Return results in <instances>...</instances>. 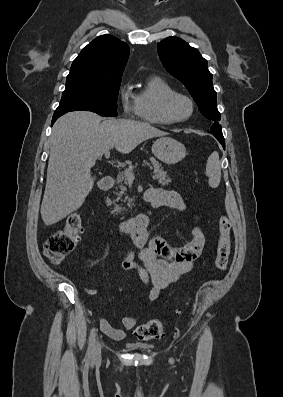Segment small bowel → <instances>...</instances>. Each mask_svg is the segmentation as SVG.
I'll list each match as a JSON object with an SVG mask.
<instances>
[{
    "label": "small bowel",
    "mask_w": 283,
    "mask_h": 397,
    "mask_svg": "<svg viewBox=\"0 0 283 397\" xmlns=\"http://www.w3.org/2000/svg\"><path fill=\"white\" fill-rule=\"evenodd\" d=\"M148 198L155 207H169L185 211L186 204L175 191L162 188H150L146 191ZM192 240L181 247L170 245L161 237L149 239L146 230L131 234L138 248L137 252L129 253L121 263L125 271H136L142 282L147 285V301L152 305L160 292L180 277L189 273L195 261L201 256L205 246V236L196 220L192 230ZM139 321V316L132 315L122 319L123 329L116 328L101 318V331L115 340L125 338V330H132Z\"/></svg>",
    "instance_id": "obj_1"
}]
</instances>
